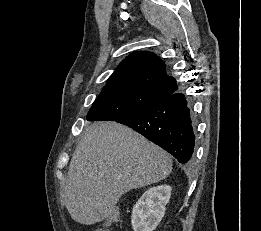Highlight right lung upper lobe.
<instances>
[{
    "label": "right lung upper lobe",
    "mask_w": 261,
    "mask_h": 231,
    "mask_svg": "<svg viewBox=\"0 0 261 231\" xmlns=\"http://www.w3.org/2000/svg\"><path fill=\"white\" fill-rule=\"evenodd\" d=\"M137 87L162 99L178 90L166 65L151 52H135L124 59L109 77L104 90Z\"/></svg>",
    "instance_id": "obj_1"
}]
</instances>
